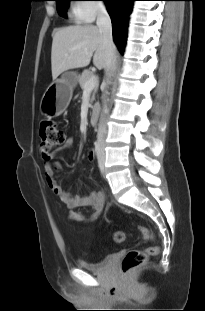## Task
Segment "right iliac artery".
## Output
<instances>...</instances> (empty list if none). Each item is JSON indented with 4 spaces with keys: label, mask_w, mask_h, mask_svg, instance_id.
I'll list each match as a JSON object with an SVG mask.
<instances>
[{
    "label": "right iliac artery",
    "mask_w": 205,
    "mask_h": 311,
    "mask_svg": "<svg viewBox=\"0 0 205 311\" xmlns=\"http://www.w3.org/2000/svg\"><path fill=\"white\" fill-rule=\"evenodd\" d=\"M100 146H101V143L100 142H95V152L97 154V156L99 155L100 153Z\"/></svg>",
    "instance_id": "1"
}]
</instances>
